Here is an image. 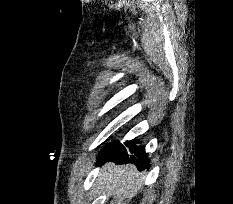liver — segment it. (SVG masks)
<instances>
[{
  "label": "liver",
  "instance_id": "obj_1",
  "mask_svg": "<svg viewBox=\"0 0 233 204\" xmlns=\"http://www.w3.org/2000/svg\"><path fill=\"white\" fill-rule=\"evenodd\" d=\"M143 179L132 164L108 163L103 166L98 176L100 189L108 196L113 194L121 199H131L139 193Z\"/></svg>",
  "mask_w": 233,
  "mask_h": 204
}]
</instances>
